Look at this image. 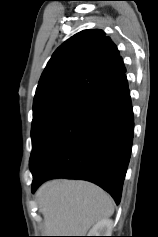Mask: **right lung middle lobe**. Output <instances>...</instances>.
Here are the masks:
<instances>
[{
  "instance_id": "1",
  "label": "right lung middle lobe",
  "mask_w": 158,
  "mask_h": 237,
  "mask_svg": "<svg viewBox=\"0 0 158 237\" xmlns=\"http://www.w3.org/2000/svg\"><path fill=\"white\" fill-rule=\"evenodd\" d=\"M84 102L72 97H56L33 105L32 153L33 159L41 141L69 114Z\"/></svg>"
}]
</instances>
